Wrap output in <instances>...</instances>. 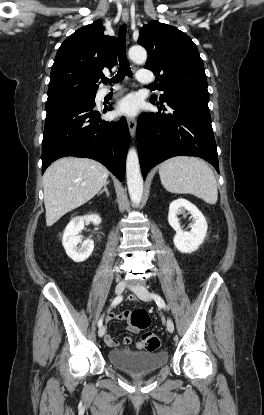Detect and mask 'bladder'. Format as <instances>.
<instances>
[{"instance_id":"31cf9c89","label":"bladder","mask_w":264,"mask_h":415,"mask_svg":"<svg viewBox=\"0 0 264 415\" xmlns=\"http://www.w3.org/2000/svg\"><path fill=\"white\" fill-rule=\"evenodd\" d=\"M107 359L117 369L134 375H140L162 368L168 361V351L150 352L137 351L129 348L119 349L109 351Z\"/></svg>"}]
</instances>
